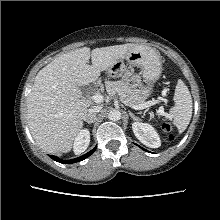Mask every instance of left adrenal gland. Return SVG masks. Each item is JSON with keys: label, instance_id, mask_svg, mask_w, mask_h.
<instances>
[{"label": "left adrenal gland", "instance_id": "a2214340", "mask_svg": "<svg viewBox=\"0 0 220 220\" xmlns=\"http://www.w3.org/2000/svg\"><path fill=\"white\" fill-rule=\"evenodd\" d=\"M129 115H130V117L133 119V120H136L137 118L135 117V115L131 112V111H129Z\"/></svg>", "mask_w": 220, "mask_h": 220}]
</instances>
